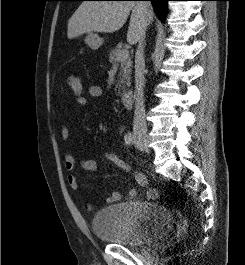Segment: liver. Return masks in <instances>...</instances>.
<instances>
[{"label": "liver", "mask_w": 245, "mask_h": 265, "mask_svg": "<svg viewBox=\"0 0 245 265\" xmlns=\"http://www.w3.org/2000/svg\"><path fill=\"white\" fill-rule=\"evenodd\" d=\"M130 11L127 41L136 44L142 28V14L138 3L132 1H84L68 21L67 36L72 39L84 33H113L123 27Z\"/></svg>", "instance_id": "6515ba94"}]
</instances>
